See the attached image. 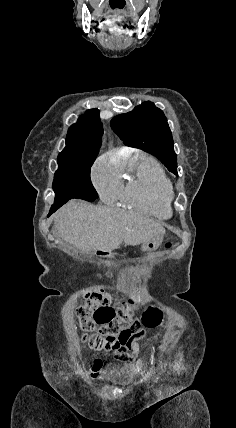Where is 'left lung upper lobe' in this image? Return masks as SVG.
Wrapping results in <instances>:
<instances>
[{
  "instance_id": "obj_1",
  "label": "left lung upper lobe",
  "mask_w": 236,
  "mask_h": 428,
  "mask_svg": "<svg viewBox=\"0 0 236 428\" xmlns=\"http://www.w3.org/2000/svg\"><path fill=\"white\" fill-rule=\"evenodd\" d=\"M111 126L125 145L155 155L170 172L178 175L167 119L152 102H144L131 112L114 117Z\"/></svg>"
}]
</instances>
